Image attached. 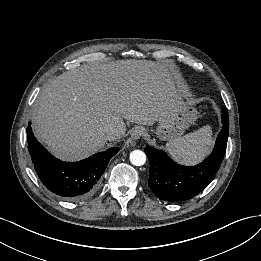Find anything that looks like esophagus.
<instances>
[{
    "mask_svg": "<svg viewBox=\"0 0 261 261\" xmlns=\"http://www.w3.org/2000/svg\"><path fill=\"white\" fill-rule=\"evenodd\" d=\"M145 134V129L143 127L137 126L131 132L132 140H138Z\"/></svg>",
    "mask_w": 261,
    "mask_h": 261,
    "instance_id": "34e87169",
    "label": "esophagus"
}]
</instances>
